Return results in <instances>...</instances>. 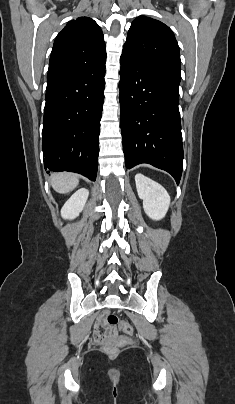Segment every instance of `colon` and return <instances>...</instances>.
<instances>
[{
    "mask_svg": "<svg viewBox=\"0 0 235 404\" xmlns=\"http://www.w3.org/2000/svg\"><path fill=\"white\" fill-rule=\"evenodd\" d=\"M103 326L107 328L106 332H103L100 329H97L95 331V337L98 340H104L106 335L113 334L116 330H119L120 332L128 335L132 334L134 331V328L131 324L120 321L118 316L111 312H107L104 315Z\"/></svg>",
    "mask_w": 235,
    "mask_h": 404,
    "instance_id": "obj_1",
    "label": "colon"
}]
</instances>
